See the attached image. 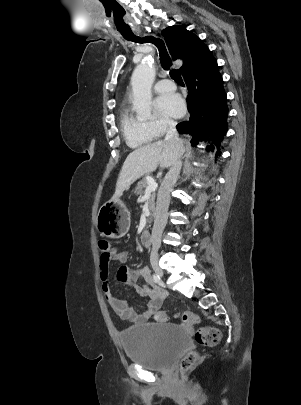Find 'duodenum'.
<instances>
[{
	"mask_svg": "<svg viewBox=\"0 0 301 405\" xmlns=\"http://www.w3.org/2000/svg\"><path fill=\"white\" fill-rule=\"evenodd\" d=\"M141 242L144 246L150 247L152 244V236L149 231H143L141 234Z\"/></svg>",
	"mask_w": 301,
	"mask_h": 405,
	"instance_id": "obj_1",
	"label": "duodenum"
}]
</instances>
